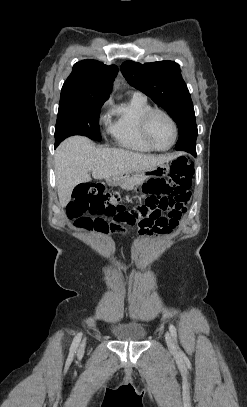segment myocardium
<instances>
[{
	"mask_svg": "<svg viewBox=\"0 0 247 407\" xmlns=\"http://www.w3.org/2000/svg\"><path fill=\"white\" fill-rule=\"evenodd\" d=\"M155 114H160L163 115L164 117H166L172 127H173V139L171 144L166 147V148H159L156 145H154V143L151 141L150 136H149V132H148V126H149V122L150 119L155 115ZM140 133L142 136V139L144 140V142L154 151H159V152H164V151H168L170 150L174 144L176 143L177 137H178V126L177 123L175 121V119L165 110L162 109H158V108H151L149 111H147L141 118L140 120Z\"/></svg>",
	"mask_w": 247,
	"mask_h": 407,
	"instance_id": "1",
	"label": "myocardium"
}]
</instances>
